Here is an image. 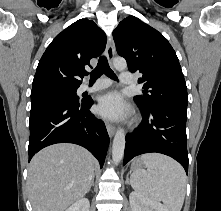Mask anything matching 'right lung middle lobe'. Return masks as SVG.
Returning a JSON list of instances; mask_svg holds the SVG:
<instances>
[{"instance_id":"right-lung-middle-lobe-1","label":"right lung middle lobe","mask_w":221,"mask_h":211,"mask_svg":"<svg viewBox=\"0 0 221 211\" xmlns=\"http://www.w3.org/2000/svg\"><path fill=\"white\" fill-rule=\"evenodd\" d=\"M77 88H47L31 91V104L39 102L61 99L70 102H80L76 94Z\"/></svg>"}]
</instances>
